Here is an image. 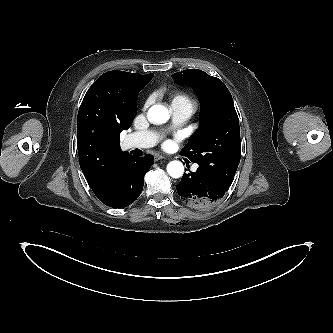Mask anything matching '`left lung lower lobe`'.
Listing matches in <instances>:
<instances>
[{
	"label": "left lung lower lobe",
	"instance_id": "left-lung-lower-lobe-1",
	"mask_svg": "<svg viewBox=\"0 0 333 333\" xmlns=\"http://www.w3.org/2000/svg\"><path fill=\"white\" fill-rule=\"evenodd\" d=\"M176 189L181 200L188 206L207 210L221 200L229 187L218 182L205 170L198 168L196 172L184 174Z\"/></svg>",
	"mask_w": 333,
	"mask_h": 333
}]
</instances>
